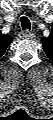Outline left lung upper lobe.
<instances>
[{"label": "left lung upper lobe", "instance_id": "obj_1", "mask_svg": "<svg viewBox=\"0 0 53 120\" xmlns=\"http://www.w3.org/2000/svg\"><path fill=\"white\" fill-rule=\"evenodd\" d=\"M51 36H49L48 38L41 39L43 42L44 51L49 58L53 57V39Z\"/></svg>", "mask_w": 53, "mask_h": 120}]
</instances>
